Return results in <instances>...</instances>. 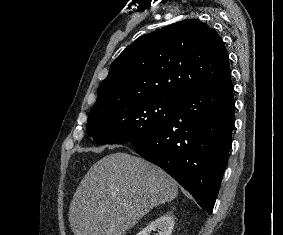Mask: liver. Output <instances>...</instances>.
Segmentation results:
<instances>
[{"label": "liver", "instance_id": "1", "mask_svg": "<svg viewBox=\"0 0 283 235\" xmlns=\"http://www.w3.org/2000/svg\"><path fill=\"white\" fill-rule=\"evenodd\" d=\"M178 195V184L158 166L124 152L104 156L74 193V235H123L151 209Z\"/></svg>", "mask_w": 283, "mask_h": 235}]
</instances>
